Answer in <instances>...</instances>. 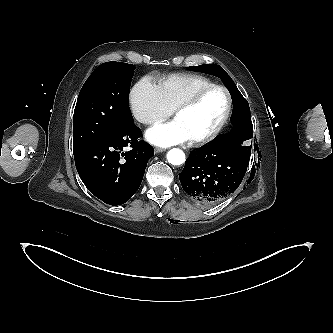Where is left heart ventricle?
<instances>
[{"label": "left heart ventricle", "mask_w": 333, "mask_h": 333, "mask_svg": "<svg viewBox=\"0 0 333 333\" xmlns=\"http://www.w3.org/2000/svg\"><path fill=\"white\" fill-rule=\"evenodd\" d=\"M227 98L223 91L213 90L194 107L181 112L175 120L187 133L189 140L200 138L211 132L223 118Z\"/></svg>", "instance_id": "obj_1"}]
</instances>
